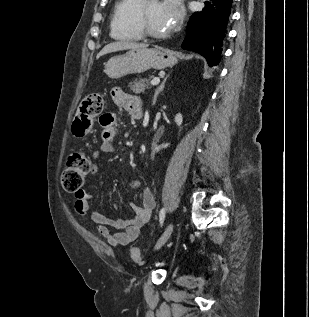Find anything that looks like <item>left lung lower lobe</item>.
Masks as SVG:
<instances>
[{"instance_id":"left-lung-lower-lobe-1","label":"left lung lower lobe","mask_w":309,"mask_h":317,"mask_svg":"<svg viewBox=\"0 0 309 317\" xmlns=\"http://www.w3.org/2000/svg\"><path fill=\"white\" fill-rule=\"evenodd\" d=\"M234 0H209L201 12H195L187 26L182 48L206 58L210 67L217 66L224 50Z\"/></svg>"}]
</instances>
